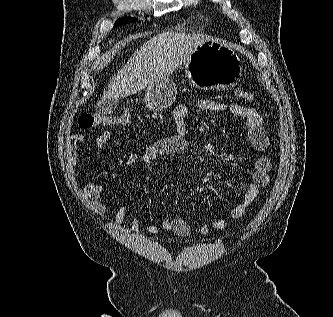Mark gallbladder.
Segmentation results:
<instances>
[{"mask_svg": "<svg viewBox=\"0 0 333 317\" xmlns=\"http://www.w3.org/2000/svg\"><path fill=\"white\" fill-rule=\"evenodd\" d=\"M118 105V99L101 100L96 105V110L100 115L107 116L113 113Z\"/></svg>", "mask_w": 333, "mask_h": 317, "instance_id": "bac80fb5", "label": "gallbladder"}]
</instances>
